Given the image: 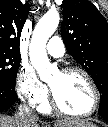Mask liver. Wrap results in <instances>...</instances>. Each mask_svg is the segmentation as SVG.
<instances>
[{"label": "liver", "mask_w": 108, "mask_h": 127, "mask_svg": "<svg viewBox=\"0 0 108 127\" xmlns=\"http://www.w3.org/2000/svg\"><path fill=\"white\" fill-rule=\"evenodd\" d=\"M92 124L93 123L87 120H60L54 123L55 127H82L89 126ZM0 127H40V126L38 123V119L34 120L30 115L19 116L17 114L11 117L1 114Z\"/></svg>", "instance_id": "1"}]
</instances>
